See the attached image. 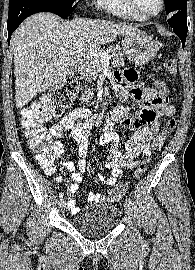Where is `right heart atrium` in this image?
Segmentation results:
<instances>
[{
    "label": "right heart atrium",
    "mask_w": 195,
    "mask_h": 270,
    "mask_svg": "<svg viewBox=\"0 0 195 270\" xmlns=\"http://www.w3.org/2000/svg\"><path fill=\"white\" fill-rule=\"evenodd\" d=\"M93 1H95V2H97V3L99 2V0H93Z\"/></svg>",
    "instance_id": "obj_1"
}]
</instances>
